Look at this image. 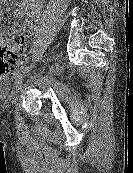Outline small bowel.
<instances>
[{"label":"small bowel","instance_id":"c3829d8e","mask_svg":"<svg viewBox=\"0 0 133 173\" xmlns=\"http://www.w3.org/2000/svg\"><path fill=\"white\" fill-rule=\"evenodd\" d=\"M43 0H23L17 11L16 15L21 16L24 11H26L28 19L23 27H13L10 29V34L19 35L23 38V48H24V38L33 34L36 30L37 23L40 20L41 10H42ZM1 18V15H0ZM9 39L0 33V47L8 44Z\"/></svg>","mask_w":133,"mask_h":173}]
</instances>
